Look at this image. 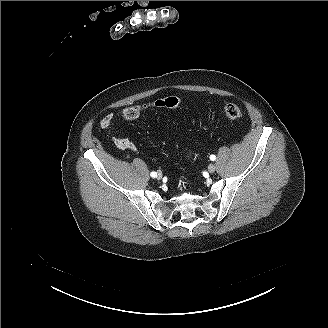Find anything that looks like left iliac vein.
<instances>
[{
	"label": "left iliac vein",
	"instance_id": "obj_1",
	"mask_svg": "<svg viewBox=\"0 0 328 328\" xmlns=\"http://www.w3.org/2000/svg\"><path fill=\"white\" fill-rule=\"evenodd\" d=\"M215 170H216V167H215L214 164H210V165L208 166V171H209L210 173H213Z\"/></svg>",
	"mask_w": 328,
	"mask_h": 328
}]
</instances>
